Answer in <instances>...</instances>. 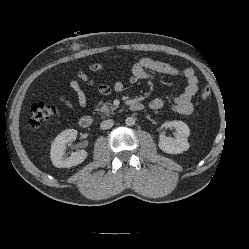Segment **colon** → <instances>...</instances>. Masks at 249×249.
Here are the masks:
<instances>
[{"label":"colon","mask_w":249,"mask_h":249,"mask_svg":"<svg viewBox=\"0 0 249 249\" xmlns=\"http://www.w3.org/2000/svg\"><path fill=\"white\" fill-rule=\"evenodd\" d=\"M200 94L202 99L207 100L211 96V90L208 86H204ZM56 114L57 110L54 106L44 103H35L29 110L28 127L31 130H35L44 122L52 119Z\"/></svg>","instance_id":"colon-1"}]
</instances>
